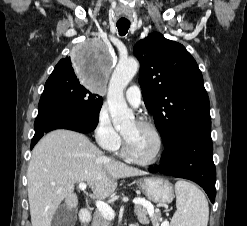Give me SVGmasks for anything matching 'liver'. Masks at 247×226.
I'll return each mask as SVG.
<instances>
[{"label":"liver","mask_w":247,"mask_h":226,"mask_svg":"<svg viewBox=\"0 0 247 226\" xmlns=\"http://www.w3.org/2000/svg\"><path fill=\"white\" fill-rule=\"evenodd\" d=\"M145 173L106 157L85 135L58 129L34 147L28 165V199L32 226H51L62 201L76 208V183L87 182L100 199L112 195L117 179Z\"/></svg>","instance_id":"1"}]
</instances>
